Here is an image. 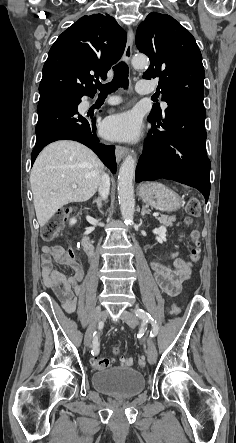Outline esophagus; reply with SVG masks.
<instances>
[{
    "label": "esophagus",
    "instance_id": "obj_1",
    "mask_svg": "<svg viewBox=\"0 0 236 443\" xmlns=\"http://www.w3.org/2000/svg\"><path fill=\"white\" fill-rule=\"evenodd\" d=\"M134 42V33L131 29L128 31L127 35V43L123 55V60L129 64L131 57H132V46ZM128 153V149L123 146H116L115 154H116V160L119 163L122 158Z\"/></svg>",
    "mask_w": 236,
    "mask_h": 443
}]
</instances>
